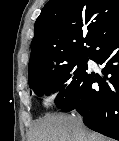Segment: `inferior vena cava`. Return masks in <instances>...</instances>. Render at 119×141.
Instances as JSON below:
<instances>
[{"mask_svg":"<svg viewBox=\"0 0 119 141\" xmlns=\"http://www.w3.org/2000/svg\"><path fill=\"white\" fill-rule=\"evenodd\" d=\"M77 117H78V118L81 120V117H80V115H78Z\"/></svg>","mask_w":119,"mask_h":141,"instance_id":"obj_1","label":"inferior vena cava"}]
</instances>
